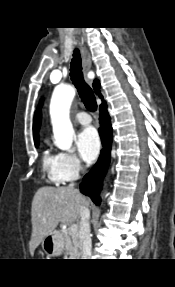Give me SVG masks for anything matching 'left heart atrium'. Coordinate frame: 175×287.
Returning <instances> with one entry per match:
<instances>
[{
    "mask_svg": "<svg viewBox=\"0 0 175 287\" xmlns=\"http://www.w3.org/2000/svg\"><path fill=\"white\" fill-rule=\"evenodd\" d=\"M76 146L83 160L94 161L100 150V140L97 132L93 128L82 130L76 138Z\"/></svg>",
    "mask_w": 175,
    "mask_h": 287,
    "instance_id": "obj_1",
    "label": "left heart atrium"
}]
</instances>
